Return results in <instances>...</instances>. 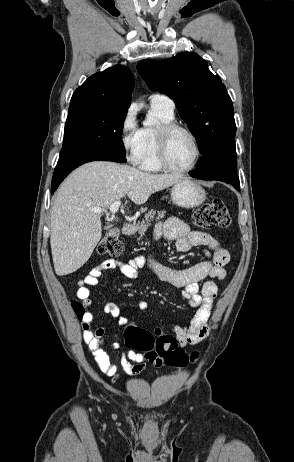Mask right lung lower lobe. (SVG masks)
<instances>
[{"instance_id": "obj_1", "label": "right lung lower lobe", "mask_w": 294, "mask_h": 462, "mask_svg": "<svg viewBox=\"0 0 294 462\" xmlns=\"http://www.w3.org/2000/svg\"><path fill=\"white\" fill-rule=\"evenodd\" d=\"M96 160H103V161H114V162H126L125 155L119 154H106V155H99V156H89L85 158H79L71 161H67L64 163L57 164L51 184V193L58 188L60 183L67 177V175L73 171L78 166L91 161Z\"/></svg>"}]
</instances>
